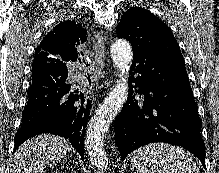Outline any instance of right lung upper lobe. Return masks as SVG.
Returning a JSON list of instances; mask_svg holds the SVG:
<instances>
[{
  "mask_svg": "<svg viewBox=\"0 0 219 173\" xmlns=\"http://www.w3.org/2000/svg\"><path fill=\"white\" fill-rule=\"evenodd\" d=\"M86 30L71 21L58 24L52 32H49L40 46L35 50L32 66L41 62H65L76 60L77 47L86 40Z\"/></svg>",
  "mask_w": 219,
  "mask_h": 173,
  "instance_id": "obj_1",
  "label": "right lung upper lobe"
}]
</instances>
